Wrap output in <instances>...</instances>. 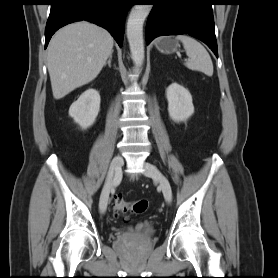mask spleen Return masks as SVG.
<instances>
[{
    "mask_svg": "<svg viewBox=\"0 0 278 278\" xmlns=\"http://www.w3.org/2000/svg\"><path fill=\"white\" fill-rule=\"evenodd\" d=\"M176 39L182 42L186 54L189 57L188 62L185 63L186 67L212 76L213 63L207 50L198 41L188 35H177Z\"/></svg>",
    "mask_w": 278,
    "mask_h": 278,
    "instance_id": "obj_1",
    "label": "spleen"
}]
</instances>
